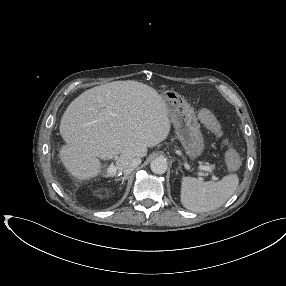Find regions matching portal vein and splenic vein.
<instances>
[{"mask_svg":"<svg viewBox=\"0 0 286 286\" xmlns=\"http://www.w3.org/2000/svg\"><path fill=\"white\" fill-rule=\"evenodd\" d=\"M199 169L204 170V171H207V172H209V173H211V174L213 173L211 167H209V166L200 165V166H199ZM107 171H108V173H109L110 175H114V174L116 173V171H117V168H116V166H114V165H110V166L108 167ZM213 179H214V180H217V178H216L215 176H213Z\"/></svg>","mask_w":286,"mask_h":286,"instance_id":"18ae733b","label":"portal vein and splenic vein"}]
</instances>
